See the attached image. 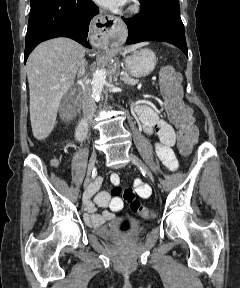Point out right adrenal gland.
<instances>
[{
  "label": "right adrenal gland",
  "mask_w": 240,
  "mask_h": 288,
  "mask_svg": "<svg viewBox=\"0 0 240 288\" xmlns=\"http://www.w3.org/2000/svg\"><path fill=\"white\" fill-rule=\"evenodd\" d=\"M86 66H87V62L84 60L83 64H82V67H81V70H79L78 75H80L82 73H85Z\"/></svg>",
  "instance_id": "1"
}]
</instances>
